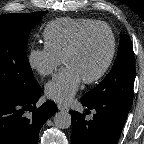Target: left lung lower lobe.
<instances>
[{
	"label": "left lung lower lobe",
	"mask_w": 144,
	"mask_h": 144,
	"mask_svg": "<svg viewBox=\"0 0 144 144\" xmlns=\"http://www.w3.org/2000/svg\"><path fill=\"white\" fill-rule=\"evenodd\" d=\"M82 105L94 109L93 119L85 120V114L72 112V144H116L132 103L105 97L95 101L81 99Z\"/></svg>",
	"instance_id": "0a47b994"
}]
</instances>
